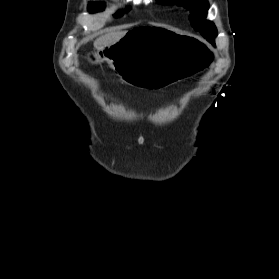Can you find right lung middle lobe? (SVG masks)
<instances>
[{
	"mask_svg": "<svg viewBox=\"0 0 279 279\" xmlns=\"http://www.w3.org/2000/svg\"><path fill=\"white\" fill-rule=\"evenodd\" d=\"M104 9V5L100 2H90L88 6L89 12H97L102 11ZM122 12H118L115 16L122 15Z\"/></svg>",
	"mask_w": 279,
	"mask_h": 279,
	"instance_id": "1",
	"label": "right lung middle lobe"
}]
</instances>
